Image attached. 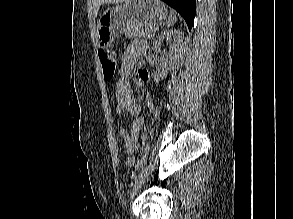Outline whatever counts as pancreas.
I'll list each match as a JSON object with an SVG mask.
<instances>
[{
  "mask_svg": "<svg viewBox=\"0 0 293 219\" xmlns=\"http://www.w3.org/2000/svg\"><path fill=\"white\" fill-rule=\"evenodd\" d=\"M158 28L155 23H134L125 31V35L129 38L135 37H153Z\"/></svg>",
  "mask_w": 293,
  "mask_h": 219,
  "instance_id": "obj_1",
  "label": "pancreas"
}]
</instances>
